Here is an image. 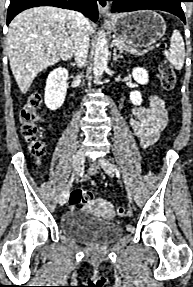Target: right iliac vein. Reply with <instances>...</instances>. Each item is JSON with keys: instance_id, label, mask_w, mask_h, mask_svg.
<instances>
[{"instance_id": "63e3f726", "label": "right iliac vein", "mask_w": 193, "mask_h": 287, "mask_svg": "<svg viewBox=\"0 0 193 287\" xmlns=\"http://www.w3.org/2000/svg\"><path fill=\"white\" fill-rule=\"evenodd\" d=\"M85 161V151L83 148H80L75 155V159H74V171H73V175H72V179L71 181L68 183V185L66 186V188L63 190L61 196H60V205H64L69 197V191H70V187L73 181V178L75 176V174L77 173V170L80 169L82 167V165L84 164Z\"/></svg>"}]
</instances>
